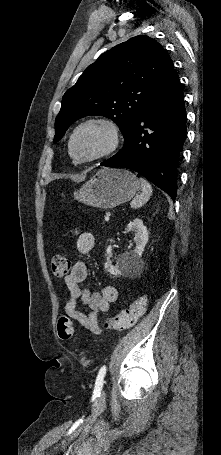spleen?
Wrapping results in <instances>:
<instances>
[{"label": "spleen", "mask_w": 221, "mask_h": 455, "mask_svg": "<svg viewBox=\"0 0 221 455\" xmlns=\"http://www.w3.org/2000/svg\"><path fill=\"white\" fill-rule=\"evenodd\" d=\"M140 183H141V188H142V193L140 195H137L134 197V199L131 201V208L137 209L142 207L149 199L150 196L152 195V186L150 183L143 179L140 178Z\"/></svg>", "instance_id": "obj_1"}]
</instances>
